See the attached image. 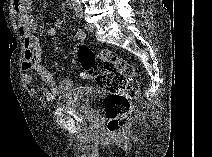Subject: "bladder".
I'll use <instances>...</instances> for the list:
<instances>
[{
	"label": "bladder",
	"instance_id": "bladder-1",
	"mask_svg": "<svg viewBox=\"0 0 212 157\" xmlns=\"http://www.w3.org/2000/svg\"><path fill=\"white\" fill-rule=\"evenodd\" d=\"M105 93L94 86H77L57 101V106L85 119L94 121L99 117L97 105L103 101Z\"/></svg>",
	"mask_w": 212,
	"mask_h": 157
}]
</instances>
